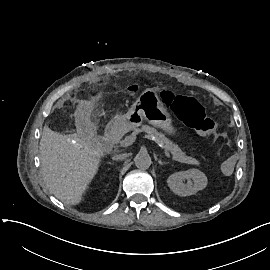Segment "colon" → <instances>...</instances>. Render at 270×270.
Wrapping results in <instances>:
<instances>
[{
  "mask_svg": "<svg viewBox=\"0 0 270 270\" xmlns=\"http://www.w3.org/2000/svg\"><path fill=\"white\" fill-rule=\"evenodd\" d=\"M129 90L137 92L138 86L131 85ZM159 97L166 109H170L186 126L214 140L219 138L215 122L205 115L201 104L195 98L171 90H162ZM220 169L223 175L230 176L234 172L235 163L231 159H225L221 162Z\"/></svg>",
  "mask_w": 270,
  "mask_h": 270,
  "instance_id": "5ec220e1",
  "label": "colon"
}]
</instances>
